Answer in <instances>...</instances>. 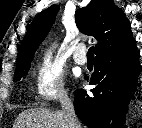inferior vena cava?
Returning <instances> with one entry per match:
<instances>
[{"label":"inferior vena cava","mask_w":142,"mask_h":128,"mask_svg":"<svg viewBox=\"0 0 142 128\" xmlns=\"http://www.w3.org/2000/svg\"><path fill=\"white\" fill-rule=\"evenodd\" d=\"M62 112L69 123V128H81L74 110V105L71 99L65 94L61 98Z\"/></svg>","instance_id":"602c4592"}]
</instances>
